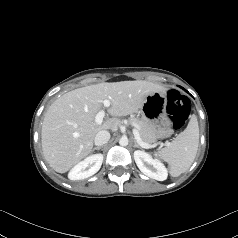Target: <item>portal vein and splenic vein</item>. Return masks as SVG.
<instances>
[{
    "instance_id": "18ae733b",
    "label": "portal vein and splenic vein",
    "mask_w": 238,
    "mask_h": 238,
    "mask_svg": "<svg viewBox=\"0 0 238 238\" xmlns=\"http://www.w3.org/2000/svg\"><path fill=\"white\" fill-rule=\"evenodd\" d=\"M103 106H104V109L105 108H108L110 106V101L108 99H105L103 101ZM104 109H101L95 116V122L96 124H101L103 122V118L105 116V110ZM133 134H134V137L136 139V141L140 144V146H142L143 148H152L154 147V145H149L147 143H145L141 137H140V134H139V131L137 129H133Z\"/></svg>"
}]
</instances>
